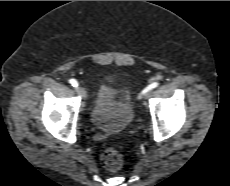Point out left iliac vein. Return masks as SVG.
Returning a JSON list of instances; mask_svg holds the SVG:
<instances>
[{
    "instance_id": "4c4485c4",
    "label": "left iliac vein",
    "mask_w": 230,
    "mask_h": 186,
    "mask_svg": "<svg viewBox=\"0 0 230 186\" xmlns=\"http://www.w3.org/2000/svg\"><path fill=\"white\" fill-rule=\"evenodd\" d=\"M149 94H150V91L140 94L139 97H144L146 99V98H148Z\"/></svg>"
}]
</instances>
